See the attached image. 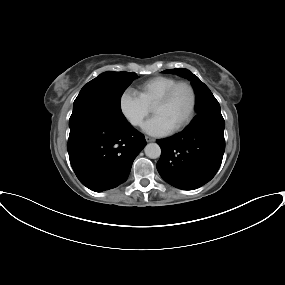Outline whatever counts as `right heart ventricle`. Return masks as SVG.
I'll return each instance as SVG.
<instances>
[{
	"label": "right heart ventricle",
	"mask_w": 285,
	"mask_h": 285,
	"mask_svg": "<svg viewBox=\"0 0 285 285\" xmlns=\"http://www.w3.org/2000/svg\"><path fill=\"white\" fill-rule=\"evenodd\" d=\"M178 79L172 76H156L138 86L137 94L150 108Z\"/></svg>",
	"instance_id": "1"
}]
</instances>
